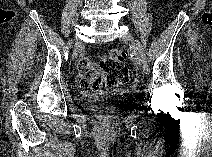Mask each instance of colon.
Here are the masks:
<instances>
[{"label":"colon","mask_w":212,"mask_h":157,"mask_svg":"<svg viewBox=\"0 0 212 157\" xmlns=\"http://www.w3.org/2000/svg\"><path fill=\"white\" fill-rule=\"evenodd\" d=\"M129 76L126 53L113 48L98 63L82 61L78 81L84 89L101 90L124 85L129 81Z\"/></svg>","instance_id":"obj_1"}]
</instances>
